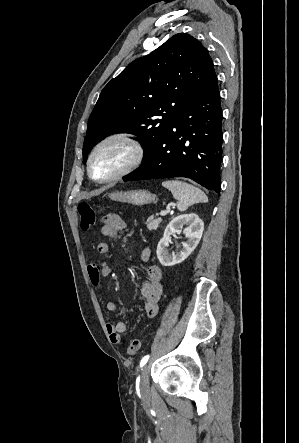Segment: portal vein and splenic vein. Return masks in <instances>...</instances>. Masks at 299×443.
I'll use <instances>...</instances> for the list:
<instances>
[{
    "instance_id": "1",
    "label": "portal vein and splenic vein",
    "mask_w": 299,
    "mask_h": 443,
    "mask_svg": "<svg viewBox=\"0 0 299 443\" xmlns=\"http://www.w3.org/2000/svg\"><path fill=\"white\" fill-rule=\"evenodd\" d=\"M167 213H168V211H161V212H160V216H166Z\"/></svg>"
}]
</instances>
